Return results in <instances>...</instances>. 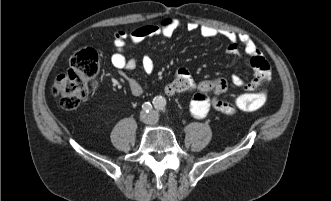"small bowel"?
<instances>
[{
	"label": "small bowel",
	"instance_id": "c3829d8e",
	"mask_svg": "<svg viewBox=\"0 0 331 201\" xmlns=\"http://www.w3.org/2000/svg\"><path fill=\"white\" fill-rule=\"evenodd\" d=\"M179 27V21L175 18L163 19L160 23L144 25L130 31L119 30L114 35V52L111 55L112 65L119 71H132L137 66L134 58H128L125 54L128 43L137 44L151 36L171 37ZM188 31H198L205 38L223 37L230 42L228 53L233 56H240L241 51L249 59V64L255 73L254 79L246 83L240 76H233V83L237 87L253 91L262 87L270 78V68L258 50L252 39L242 33H235L229 30H222L207 25H197L189 22L186 25ZM142 66L146 73L150 74L154 70L153 61L149 56H144ZM127 85L134 96H141L144 92L143 87L136 80L128 78ZM227 90V82L222 78L195 81L188 69L179 68L173 80L166 85L165 92L168 95L176 93H190V112L193 117L203 119L211 109L221 113L232 115L238 110L233 104L222 99V95Z\"/></svg>",
	"mask_w": 331,
	"mask_h": 201
}]
</instances>
